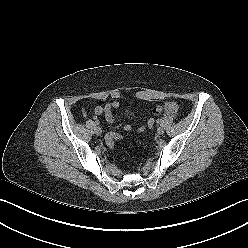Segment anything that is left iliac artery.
Instances as JSON below:
<instances>
[{
    "label": "left iliac artery",
    "instance_id": "1",
    "mask_svg": "<svg viewBox=\"0 0 248 248\" xmlns=\"http://www.w3.org/2000/svg\"><path fill=\"white\" fill-rule=\"evenodd\" d=\"M156 122H157V123H160V120L158 119Z\"/></svg>",
    "mask_w": 248,
    "mask_h": 248
}]
</instances>
